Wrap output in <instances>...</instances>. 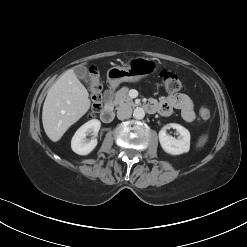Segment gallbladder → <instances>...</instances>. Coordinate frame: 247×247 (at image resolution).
<instances>
[{"label": "gallbladder", "instance_id": "gallbladder-1", "mask_svg": "<svg viewBox=\"0 0 247 247\" xmlns=\"http://www.w3.org/2000/svg\"><path fill=\"white\" fill-rule=\"evenodd\" d=\"M74 73L79 79L83 80L85 83L89 82L88 71H87V68L85 66H82V65L76 66L74 68Z\"/></svg>", "mask_w": 247, "mask_h": 247}]
</instances>
